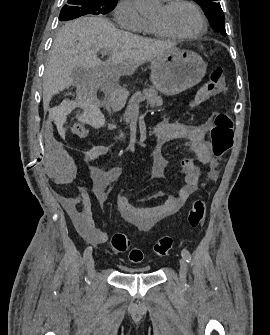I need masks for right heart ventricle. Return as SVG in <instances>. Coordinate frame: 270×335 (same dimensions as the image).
<instances>
[{
  "label": "right heart ventricle",
  "instance_id": "1",
  "mask_svg": "<svg viewBox=\"0 0 270 335\" xmlns=\"http://www.w3.org/2000/svg\"><path fill=\"white\" fill-rule=\"evenodd\" d=\"M143 32L156 37H163V35L160 34L159 31L153 26L152 22L147 20H145ZM162 78H169V77H162Z\"/></svg>",
  "mask_w": 270,
  "mask_h": 335
}]
</instances>
